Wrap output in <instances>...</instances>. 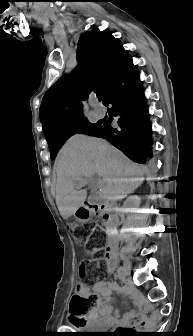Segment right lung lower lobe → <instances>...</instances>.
<instances>
[{
	"label": "right lung lower lobe",
	"mask_w": 193,
	"mask_h": 336,
	"mask_svg": "<svg viewBox=\"0 0 193 336\" xmlns=\"http://www.w3.org/2000/svg\"><path fill=\"white\" fill-rule=\"evenodd\" d=\"M108 104L113 106L118 126H111L113 117L104 119L100 128L90 135L108 140L134 162H149L152 158L151 125L139 74L132 62L106 95L104 105Z\"/></svg>",
	"instance_id": "1"
}]
</instances>
